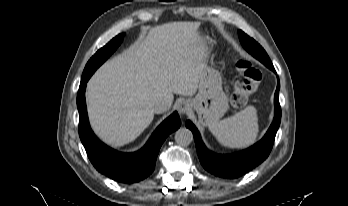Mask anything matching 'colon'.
<instances>
[{
    "label": "colon",
    "instance_id": "5ec220e1",
    "mask_svg": "<svg viewBox=\"0 0 348 206\" xmlns=\"http://www.w3.org/2000/svg\"><path fill=\"white\" fill-rule=\"evenodd\" d=\"M243 78L236 87L234 101L238 105L244 104L247 99L253 95L259 87L260 73L250 68L248 60L239 62Z\"/></svg>",
    "mask_w": 348,
    "mask_h": 206
}]
</instances>
